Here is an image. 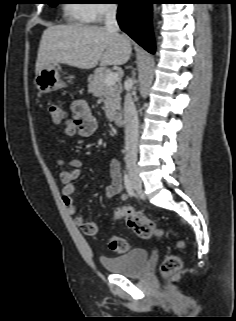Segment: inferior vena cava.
I'll return each mask as SVG.
<instances>
[{
	"instance_id": "1",
	"label": "inferior vena cava",
	"mask_w": 236,
	"mask_h": 321,
	"mask_svg": "<svg viewBox=\"0 0 236 321\" xmlns=\"http://www.w3.org/2000/svg\"><path fill=\"white\" fill-rule=\"evenodd\" d=\"M117 7L115 4H108L105 7V27L108 31L118 32L119 26L116 20ZM128 87L132 86V80L126 81ZM124 121H125V153L127 158H136L138 143V115L132 95L127 91L124 100Z\"/></svg>"
}]
</instances>
